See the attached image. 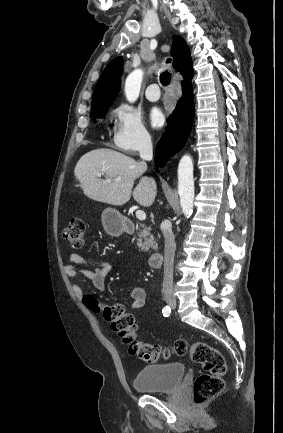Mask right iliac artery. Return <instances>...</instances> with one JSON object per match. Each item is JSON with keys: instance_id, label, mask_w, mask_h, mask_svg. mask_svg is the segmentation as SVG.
I'll return each mask as SVG.
<instances>
[{"instance_id": "82829eb1", "label": "right iliac artery", "mask_w": 283, "mask_h": 433, "mask_svg": "<svg viewBox=\"0 0 283 433\" xmlns=\"http://www.w3.org/2000/svg\"><path fill=\"white\" fill-rule=\"evenodd\" d=\"M162 313H163L164 317H168L170 315V313H171V308L169 306H165L162 309Z\"/></svg>"}]
</instances>
